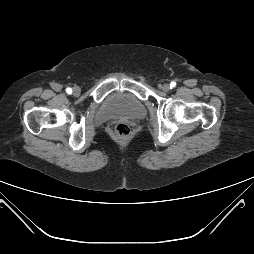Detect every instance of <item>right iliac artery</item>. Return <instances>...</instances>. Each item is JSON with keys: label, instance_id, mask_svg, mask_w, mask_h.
I'll return each instance as SVG.
<instances>
[{"label": "right iliac artery", "instance_id": "obj_1", "mask_svg": "<svg viewBox=\"0 0 254 254\" xmlns=\"http://www.w3.org/2000/svg\"><path fill=\"white\" fill-rule=\"evenodd\" d=\"M66 92H67L68 94H71V93H72V89H71V88H67V89H66Z\"/></svg>", "mask_w": 254, "mask_h": 254}]
</instances>
